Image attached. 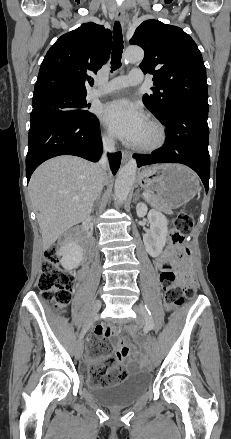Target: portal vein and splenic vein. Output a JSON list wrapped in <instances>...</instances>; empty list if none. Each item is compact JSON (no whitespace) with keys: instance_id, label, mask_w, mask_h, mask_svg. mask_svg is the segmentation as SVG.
Masks as SVG:
<instances>
[{"instance_id":"18ae733b","label":"portal vein and splenic vein","mask_w":231,"mask_h":439,"mask_svg":"<svg viewBox=\"0 0 231 439\" xmlns=\"http://www.w3.org/2000/svg\"><path fill=\"white\" fill-rule=\"evenodd\" d=\"M143 195L145 196V198L148 197V196H150L149 193H143Z\"/></svg>"}]
</instances>
